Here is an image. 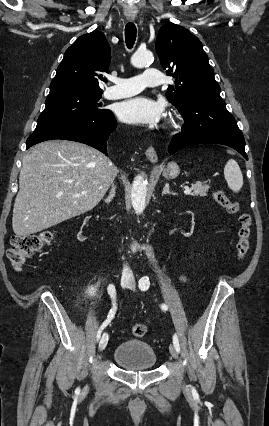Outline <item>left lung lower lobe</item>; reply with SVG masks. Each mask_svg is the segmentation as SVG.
I'll return each mask as SVG.
<instances>
[{
    "instance_id": "obj_1",
    "label": "left lung lower lobe",
    "mask_w": 269,
    "mask_h": 426,
    "mask_svg": "<svg viewBox=\"0 0 269 426\" xmlns=\"http://www.w3.org/2000/svg\"><path fill=\"white\" fill-rule=\"evenodd\" d=\"M178 111L185 123L168 146L170 154L187 146L212 143L232 147L248 160L243 134L221 97H200Z\"/></svg>"
}]
</instances>
